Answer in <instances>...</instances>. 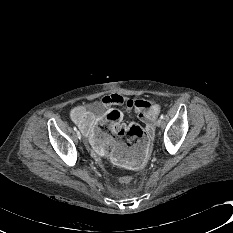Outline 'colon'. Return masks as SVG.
Wrapping results in <instances>:
<instances>
[{
    "label": "colon",
    "instance_id": "obj_1",
    "mask_svg": "<svg viewBox=\"0 0 233 233\" xmlns=\"http://www.w3.org/2000/svg\"><path fill=\"white\" fill-rule=\"evenodd\" d=\"M109 117H107L108 119ZM118 134L124 139L125 142H133L138 136H144L143 130L137 124H131L128 126H121L118 130ZM127 178H124L126 180Z\"/></svg>",
    "mask_w": 233,
    "mask_h": 233
}]
</instances>
